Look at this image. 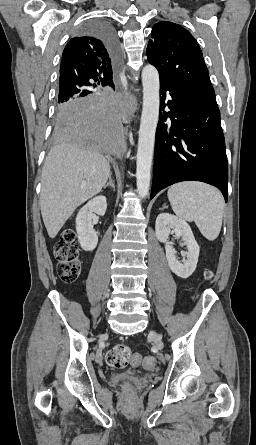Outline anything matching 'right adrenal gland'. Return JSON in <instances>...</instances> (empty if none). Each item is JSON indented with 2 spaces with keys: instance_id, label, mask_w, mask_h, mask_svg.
<instances>
[{
  "instance_id": "1",
  "label": "right adrenal gland",
  "mask_w": 256,
  "mask_h": 445,
  "mask_svg": "<svg viewBox=\"0 0 256 445\" xmlns=\"http://www.w3.org/2000/svg\"><path fill=\"white\" fill-rule=\"evenodd\" d=\"M108 186H111L113 190H115L114 182L112 181V173L109 174V182L103 186V188H107Z\"/></svg>"
}]
</instances>
